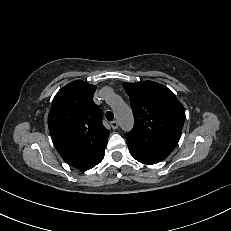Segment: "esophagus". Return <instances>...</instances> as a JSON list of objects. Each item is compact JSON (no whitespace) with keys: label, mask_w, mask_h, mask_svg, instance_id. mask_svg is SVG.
I'll list each match as a JSON object with an SVG mask.
<instances>
[{"label":"esophagus","mask_w":231,"mask_h":231,"mask_svg":"<svg viewBox=\"0 0 231 231\" xmlns=\"http://www.w3.org/2000/svg\"><path fill=\"white\" fill-rule=\"evenodd\" d=\"M110 125H111L112 129H117L118 128V122L117 121H112L110 123Z\"/></svg>","instance_id":"34e87169"}]
</instances>
